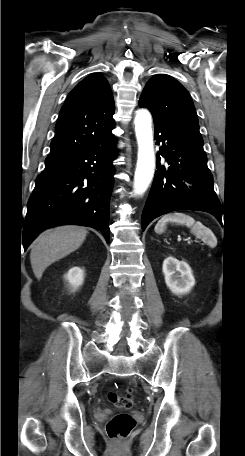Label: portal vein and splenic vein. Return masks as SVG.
<instances>
[{
  "label": "portal vein and splenic vein",
  "mask_w": 245,
  "mask_h": 456,
  "mask_svg": "<svg viewBox=\"0 0 245 456\" xmlns=\"http://www.w3.org/2000/svg\"><path fill=\"white\" fill-rule=\"evenodd\" d=\"M185 241H187L188 244H191V243H192L190 240H185Z\"/></svg>",
  "instance_id": "portal-vein-and-splenic-vein-1"
}]
</instances>
